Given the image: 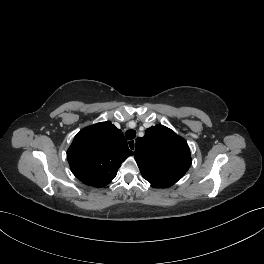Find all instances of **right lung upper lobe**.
<instances>
[{"label":"right lung upper lobe","mask_w":264,"mask_h":264,"mask_svg":"<svg viewBox=\"0 0 264 264\" xmlns=\"http://www.w3.org/2000/svg\"><path fill=\"white\" fill-rule=\"evenodd\" d=\"M133 152L120 129L101 122L82 129L67 151L72 173L83 183L103 187L116 176L121 163Z\"/></svg>","instance_id":"obj_1"}]
</instances>
